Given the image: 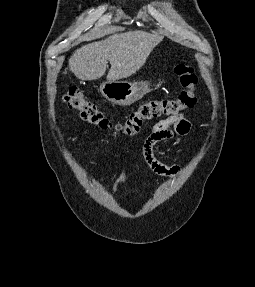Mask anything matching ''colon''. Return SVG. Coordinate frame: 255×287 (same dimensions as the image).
<instances>
[{"label": "colon", "mask_w": 255, "mask_h": 287, "mask_svg": "<svg viewBox=\"0 0 255 287\" xmlns=\"http://www.w3.org/2000/svg\"><path fill=\"white\" fill-rule=\"evenodd\" d=\"M183 90L174 99H153L141 104L132 111L121 123L110 121L97 105L88 100L83 92L75 87H70L64 94V102L70 109L79 112L81 118L90 125L101 130H114L124 135L136 134L143 122L161 115H174L180 111L192 108L197 101L196 86L197 76L192 65L183 60L174 67Z\"/></svg>", "instance_id": "obj_1"}]
</instances>
